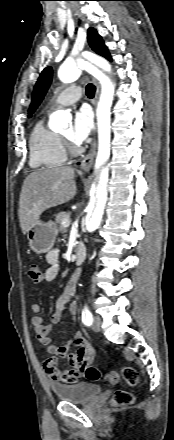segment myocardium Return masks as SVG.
<instances>
[{"label": "myocardium", "instance_id": "myocardium-1", "mask_svg": "<svg viewBox=\"0 0 174 440\" xmlns=\"http://www.w3.org/2000/svg\"><path fill=\"white\" fill-rule=\"evenodd\" d=\"M62 138H63V140H64V142H65V144L67 146L68 152L71 155H77L78 153H80L81 149L78 148L77 146H74L73 144H71L69 142V139H68L67 136L63 135Z\"/></svg>", "mask_w": 174, "mask_h": 440}]
</instances>
